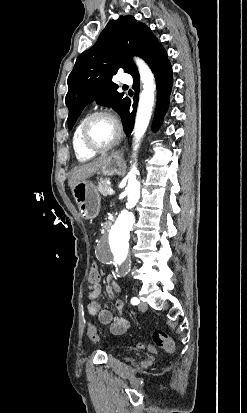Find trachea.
<instances>
[{
  "label": "trachea",
  "mask_w": 247,
  "mask_h": 413,
  "mask_svg": "<svg viewBox=\"0 0 247 413\" xmlns=\"http://www.w3.org/2000/svg\"><path fill=\"white\" fill-rule=\"evenodd\" d=\"M128 86L127 85H123V90H127Z\"/></svg>",
  "instance_id": "obj_1"
}]
</instances>
